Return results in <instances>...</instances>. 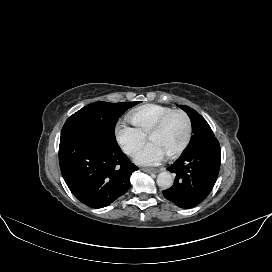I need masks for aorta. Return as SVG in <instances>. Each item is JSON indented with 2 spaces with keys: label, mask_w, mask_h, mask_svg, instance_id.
Returning <instances> with one entry per match:
<instances>
[{
  "label": "aorta",
  "mask_w": 272,
  "mask_h": 272,
  "mask_svg": "<svg viewBox=\"0 0 272 272\" xmlns=\"http://www.w3.org/2000/svg\"><path fill=\"white\" fill-rule=\"evenodd\" d=\"M173 184V177L169 172H161L157 176V185L163 189H168Z\"/></svg>",
  "instance_id": "aorta-1"
}]
</instances>
